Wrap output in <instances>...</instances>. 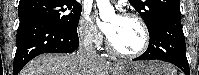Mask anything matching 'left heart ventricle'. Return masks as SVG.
Masks as SVG:
<instances>
[{"instance_id": "obj_1", "label": "left heart ventricle", "mask_w": 199, "mask_h": 75, "mask_svg": "<svg viewBox=\"0 0 199 75\" xmlns=\"http://www.w3.org/2000/svg\"><path fill=\"white\" fill-rule=\"evenodd\" d=\"M110 23H116L114 34L110 37L112 43L124 51H137L143 43V34L139 25L130 19L115 17Z\"/></svg>"}]
</instances>
